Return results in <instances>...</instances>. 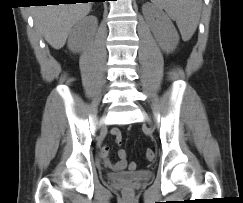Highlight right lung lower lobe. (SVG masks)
I'll return each instance as SVG.
<instances>
[{"label":"right lung lower lobe","mask_w":243,"mask_h":203,"mask_svg":"<svg viewBox=\"0 0 243 203\" xmlns=\"http://www.w3.org/2000/svg\"><path fill=\"white\" fill-rule=\"evenodd\" d=\"M44 1H48V0H40L39 2H38V4H35V5H44L46 2H44ZM61 2H49V3H54V4H57V3H68V4H70V3H77V1H94V2H102V1H105V0H60ZM48 3V2H47ZM86 3H88V2H86Z\"/></svg>","instance_id":"1"}]
</instances>
